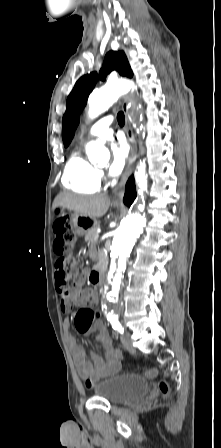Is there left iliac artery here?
Instances as JSON below:
<instances>
[{
	"instance_id": "obj_1",
	"label": "left iliac artery",
	"mask_w": 221,
	"mask_h": 448,
	"mask_svg": "<svg viewBox=\"0 0 221 448\" xmlns=\"http://www.w3.org/2000/svg\"><path fill=\"white\" fill-rule=\"evenodd\" d=\"M107 318L110 321V323L112 324L113 329L117 330L121 334L124 333V328L122 327V325L118 321V316L117 315H112V313H111V314L108 315Z\"/></svg>"
}]
</instances>
